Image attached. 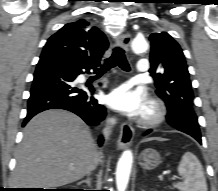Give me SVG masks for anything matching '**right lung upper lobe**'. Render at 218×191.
Listing matches in <instances>:
<instances>
[{
	"instance_id": "obj_1",
	"label": "right lung upper lobe",
	"mask_w": 218,
	"mask_h": 191,
	"mask_svg": "<svg viewBox=\"0 0 218 191\" xmlns=\"http://www.w3.org/2000/svg\"><path fill=\"white\" fill-rule=\"evenodd\" d=\"M108 48L106 36L89 22L80 19L68 23L52 35L45 44L41 57L56 56L77 63L99 65Z\"/></svg>"
}]
</instances>
